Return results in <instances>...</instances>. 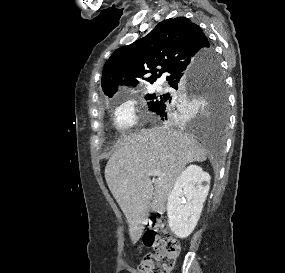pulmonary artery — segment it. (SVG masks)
<instances>
[{
	"label": "pulmonary artery",
	"instance_id": "e3ab8cb5",
	"mask_svg": "<svg viewBox=\"0 0 285 273\" xmlns=\"http://www.w3.org/2000/svg\"><path fill=\"white\" fill-rule=\"evenodd\" d=\"M157 89H158V90H163V89H164V85H158V86H157Z\"/></svg>",
	"mask_w": 285,
	"mask_h": 273
}]
</instances>
